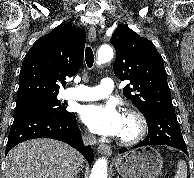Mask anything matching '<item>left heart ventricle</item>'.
<instances>
[{"label": "left heart ventricle", "mask_w": 194, "mask_h": 178, "mask_svg": "<svg viewBox=\"0 0 194 178\" xmlns=\"http://www.w3.org/2000/svg\"><path fill=\"white\" fill-rule=\"evenodd\" d=\"M136 131V123L129 117L123 116V130L119 137H130Z\"/></svg>", "instance_id": "1"}]
</instances>
